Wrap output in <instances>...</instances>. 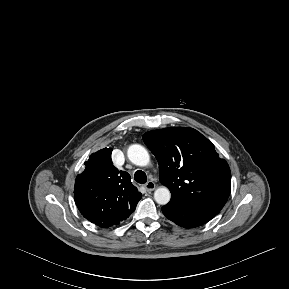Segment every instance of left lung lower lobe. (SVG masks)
Listing matches in <instances>:
<instances>
[{"mask_svg": "<svg viewBox=\"0 0 289 289\" xmlns=\"http://www.w3.org/2000/svg\"><path fill=\"white\" fill-rule=\"evenodd\" d=\"M163 214L171 221L185 228H194L210 221L217 213L190 203L170 200L162 207Z\"/></svg>", "mask_w": 289, "mask_h": 289, "instance_id": "0a47b994", "label": "left lung lower lobe"}]
</instances>
